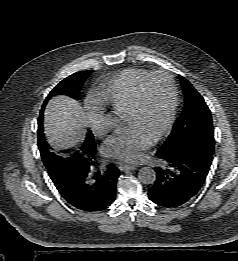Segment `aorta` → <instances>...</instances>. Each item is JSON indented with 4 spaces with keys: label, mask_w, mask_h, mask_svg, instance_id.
Wrapping results in <instances>:
<instances>
[{
    "label": "aorta",
    "mask_w": 238,
    "mask_h": 261,
    "mask_svg": "<svg viewBox=\"0 0 238 261\" xmlns=\"http://www.w3.org/2000/svg\"><path fill=\"white\" fill-rule=\"evenodd\" d=\"M108 125L114 128L122 126V121L119 117L110 116L108 119ZM138 179L143 184H151L156 180V172L150 167H143L138 172Z\"/></svg>",
    "instance_id": "762f6f07"
}]
</instances>
